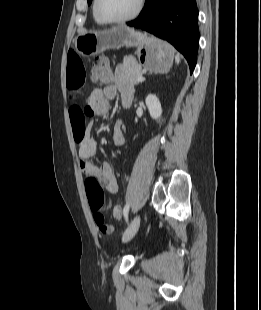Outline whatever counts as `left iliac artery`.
I'll return each mask as SVG.
<instances>
[{
	"label": "left iliac artery",
	"instance_id": "left-iliac-artery-1",
	"mask_svg": "<svg viewBox=\"0 0 261 310\" xmlns=\"http://www.w3.org/2000/svg\"><path fill=\"white\" fill-rule=\"evenodd\" d=\"M130 204H126L123 210L124 217L126 219V222H128V213H129Z\"/></svg>",
	"mask_w": 261,
	"mask_h": 310
}]
</instances>
